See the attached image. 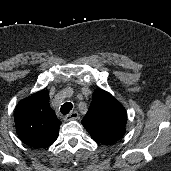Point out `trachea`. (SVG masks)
<instances>
[{
	"mask_svg": "<svg viewBox=\"0 0 171 171\" xmlns=\"http://www.w3.org/2000/svg\"><path fill=\"white\" fill-rule=\"evenodd\" d=\"M72 107H73L72 103L67 102L61 106L60 111L63 115H67L70 112V110H72Z\"/></svg>",
	"mask_w": 171,
	"mask_h": 171,
	"instance_id": "obj_1",
	"label": "trachea"
}]
</instances>
